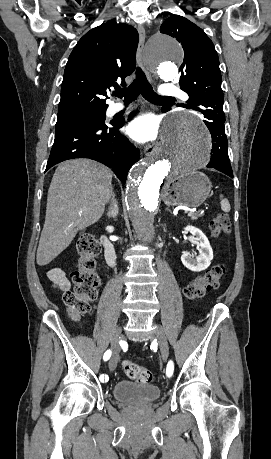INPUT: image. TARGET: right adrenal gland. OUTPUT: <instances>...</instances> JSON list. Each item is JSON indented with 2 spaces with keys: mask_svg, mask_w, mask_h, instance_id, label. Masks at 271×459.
<instances>
[{
  "mask_svg": "<svg viewBox=\"0 0 271 459\" xmlns=\"http://www.w3.org/2000/svg\"><path fill=\"white\" fill-rule=\"evenodd\" d=\"M111 196V204L108 208L107 216L108 218H116L118 214V202H116L114 194H111Z\"/></svg>",
  "mask_w": 271,
  "mask_h": 459,
  "instance_id": "2a0ac1e0",
  "label": "right adrenal gland"
}]
</instances>
